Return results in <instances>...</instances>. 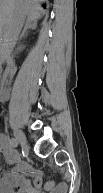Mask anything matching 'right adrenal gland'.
I'll list each match as a JSON object with an SVG mask.
<instances>
[{
	"instance_id": "1",
	"label": "right adrenal gland",
	"mask_w": 103,
	"mask_h": 193,
	"mask_svg": "<svg viewBox=\"0 0 103 193\" xmlns=\"http://www.w3.org/2000/svg\"><path fill=\"white\" fill-rule=\"evenodd\" d=\"M34 28V25L32 24V23H30V22H27L26 23V25H25V27H24V30H23V32H22V34H21V36H20V39H22L23 37H25L26 35H27V31L29 30V29H33ZM23 47L22 46H20L19 48H18V50H21Z\"/></svg>"
}]
</instances>
